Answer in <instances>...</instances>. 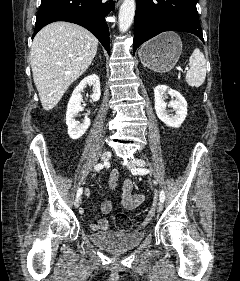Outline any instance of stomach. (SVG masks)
<instances>
[{"label":"stomach","instance_id":"obj_1","mask_svg":"<svg viewBox=\"0 0 240 281\" xmlns=\"http://www.w3.org/2000/svg\"><path fill=\"white\" fill-rule=\"evenodd\" d=\"M181 52L180 37L174 32H166L145 43L139 51V58L145 67L165 73L175 66Z\"/></svg>","mask_w":240,"mask_h":281}]
</instances>
